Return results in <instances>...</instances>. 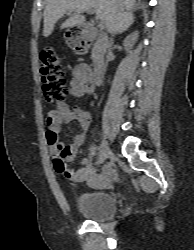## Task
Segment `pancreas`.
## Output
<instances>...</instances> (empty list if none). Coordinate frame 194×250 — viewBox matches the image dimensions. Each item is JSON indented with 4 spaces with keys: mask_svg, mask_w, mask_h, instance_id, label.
I'll return each mask as SVG.
<instances>
[{
    "mask_svg": "<svg viewBox=\"0 0 194 250\" xmlns=\"http://www.w3.org/2000/svg\"><path fill=\"white\" fill-rule=\"evenodd\" d=\"M105 48H106L105 39L100 35L92 49V55H91L92 60L93 61L98 60L104 53Z\"/></svg>",
    "mask_w": 194,
    "mask_h": 250,
    "instance_id": "pancreas-1",
    "label": "pancreas"
}]
</instances>
